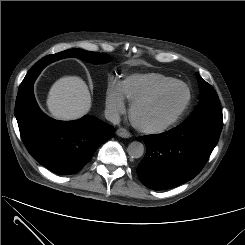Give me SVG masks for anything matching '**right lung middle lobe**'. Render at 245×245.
<instances>
[{
    "mask_svg": "<svg viewBox=\"0 0 245 245\" xmlns=\"http://www.w3.org/2000/svg\"><path fill=\"white\" fill-rule=\"evenodd\" d=\"M48 56L51 58L50 61H56L58 59L67 58V57H78L92 63H103L111 60V57L105 53L90 52L82 49H70ZM34 66L40 67L39 61ZM26 89H27V85L23 80V82L20 85L18 93H22Z\"/></svg>",
    "mask_w": 245,
    "mask_h": 245,
    "instance_id": "1",
    "label": "right lung middle lobe"
}]
</instances>
